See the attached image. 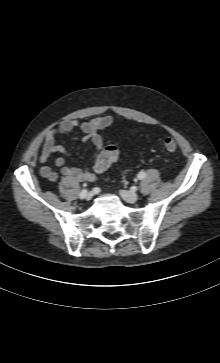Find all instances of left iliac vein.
Masks as SVG:
<instances>
[{"mask_svg":"<svg viewBox=\"0 0 220 363\" xmlns=\"http://www.w3.org/2000/svg\"><path fill=\"white\" fill-rule=\"evenodd\" d=\"M120 195L129 203H135L138 200V194L134 191L121 190Z\"/></svg>","mask_w":220,"mask_h":363,"instance_id":"1","label":"left iliac vein"}]
</instances>
